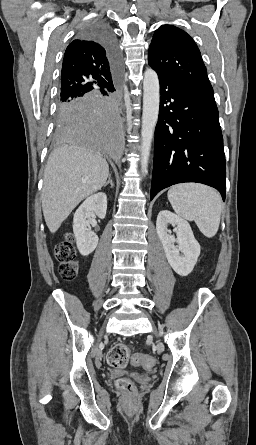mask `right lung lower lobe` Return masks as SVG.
<instances>
[{
    "label": "right lung lower lobe",
    "instance_id": "1",
    "mask_svg": "<svg viewBox=\"0 0 256 445\" xmlns=\"http://www.w3.org/2000/svg\"><path fill=\"white\" fill-rule=\"evenodd\" d=\"M100 43L118 70L120 52L110 29L102 23H92L82 31ZM58 140L82 147L117 161L123 151L120 120V101L117 88L74 96L58 101Z\"/></svg>",
    "mask_w": 256,
    "mask_h": 445
}]
</instances>
